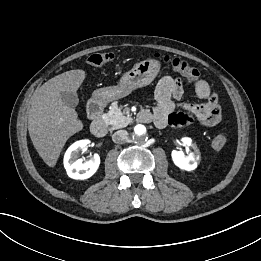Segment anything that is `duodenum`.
<instances>
[{
    "instance_id": "1",
    "label": "duodenum",
    "mask_w": 261,
    "mask_h": 261,
    "mask_svg": "<svg viewBox=\"0 0 261 261\" xmlns=\"http://www.w3.org/2000/svg\"><path fill=\"white\" fill-rule=\"evenodd\" d=\"M104 104L100 99H94L89 102L87 107L88 116L92 120L91 132L97 138H103L107 134V125L102 119ZM142 122H148L151 118L147 111H142L138 116Z\"/></svg>"
}]
</instances>
